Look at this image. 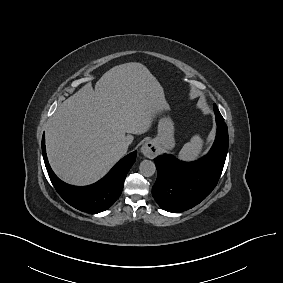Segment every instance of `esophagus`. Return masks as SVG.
<instances>
[{
	"label": "esophagus",
	"instance_id": "esophagus-1",
	"mask_svg": "<svg viewBox=\"0 0 283 283\" xmlns=\"http://www.w3.org/2000/svg\"><path fill=\"white\" fill-rule=\"evenodd\" d=\"M141 153L145 157L153 159L158 155L159 149L154 141H148L144 143L143 146L141 147Z\"/></svg>",
	"mask_w": 283,
	"mask_h": 283
}]
</instances>
